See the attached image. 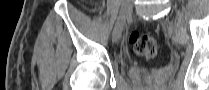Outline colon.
Here are the masks:
<instances>
[{
  "label": "colon",
  "mask_w": 209,
  "mask_h": 90,
  "mask_svg": "<svg viewBox=\"0 0 209 90\" xmlns=\"http://www.w3.org/2000/svg\"><path fill=\"white\" fill-rule=\"evenodd\" d=\"M135 52L146 59L154 58L158 53V45L155 39L148 34H142L139 31H132L129 36Z\"/></svg>",
  "instance_id": "1"
}]
</instances>
